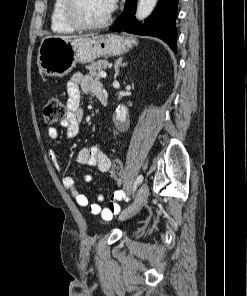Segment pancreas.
I'll use <instances>...</instances> for the list:
<instances>
[{
  "mask_svg": "<svg viewBox=\"0 0 247 296\" xmlns=\"http://www.w3.org/2000/svg\"><path fill=\"white\" fill-rule=\"evenodd\" d=\"M108 62L106 60H98L94 63H91L89 66H86V69L89 71V75L95 79H99V73L107 66Z\"/></svg>",
  "mask_w": 247,
  "mask_h": 296,
  "instance_id": "1",
  "label": "pancreas"
}]
</instances>
